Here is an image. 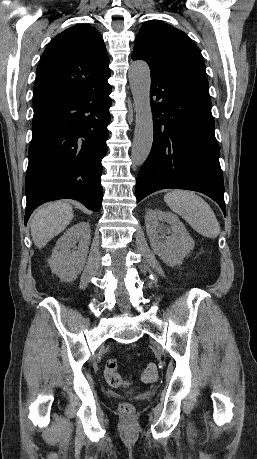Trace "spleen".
Returning <instances> with one entry per match:
<instances>
[{
	"label": "spleen",
	"mask_w": 257,
	"mask_h": 459,
	"mask_svg": "<svg viewBox=\"0 0 257 459\" xmlns=\"http://www.w3.org/2000/svg\"><path fill=\"white\" fill-rule=\"evenodd\" d=\"M164 201L199 234L212 239L219 235L220 225L213 210L194 192L172 190L164 196Z\"/></svg>",
	"instance_id": "obj_1"
}]
</instances>
